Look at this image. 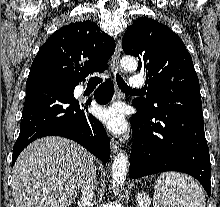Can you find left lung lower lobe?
<instances>
[{
	"label": "left lung lower lobe",
	"mask_w": 220,
	"mask_h": 207,
	"mask_svg": "<svg viewBox=\"0 0 220 207\" xmlns=\"http://www.w3.org/2000/svg\"><path fill=\"white\" fill-rule=\"evenodd\" d=\"M129 176L133 179L180 171L211 194V165L205 139L200 91L180 90L158 98L152 112L134 104ZM155 120V121H154Z\"/></svg>",
	"instance_id": "1"
}]
</instances>
